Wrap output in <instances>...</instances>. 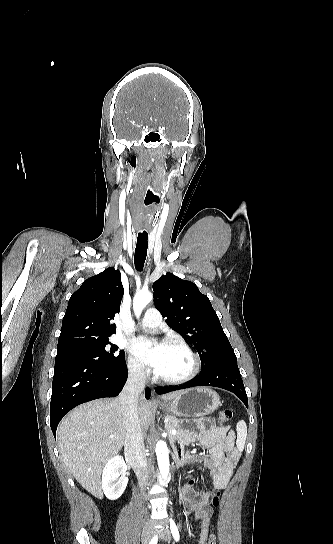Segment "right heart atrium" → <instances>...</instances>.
Returning a JSON list of instances; mask_svg holds the SVG:
<instances>
[{"instance_id": "d8ad5b80", "label": "right heart atrium", "mask_w": 333, "mask_h": 544, "mask_svg": "<svg viewBox=\"0 0 333 544\" xmlns=\"http://www.w3.org/2000/svg\"><path fill=\"white\" fill-rule=\"evenodd\" d=\"M128 372L129 374L136 379H145L147 376V371L144 368L143 364L134 356L128 357Z\"/></svg>"}]
</instances>
